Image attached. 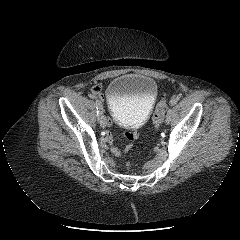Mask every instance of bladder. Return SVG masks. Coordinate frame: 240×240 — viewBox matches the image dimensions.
<instances>
[{
    "label": "bladder",
    "instance_id": "1",
    "mask_svg": "<svg viewBox=\"0 0 240 240\" xmlns=\"http://www.w3.org/2000/svg\"><path fill=\"white\" fill-rule=\"evenodd\" d=\"M158 94L154 79L141 74H124L113 79L106 91L109 109L125 128H138L149 117Z\"/></svg>",
    "mask_w": 240,
    "mask_h": 240
}]
</instances>
